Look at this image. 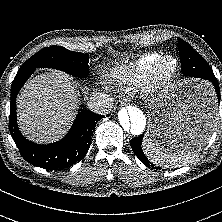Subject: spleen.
Listing matches in <instances>:
<instances>
[{
	"label": "spleen",
	"instance_id": "spleen-1",
	"mask_svg": "<svg viewBox=\"0 0 222 222\" xmlns=\"http://www.w3.org/2000/svg\"><path fill=\"white\" fill-rule=\"evenodd\" d=\"M142 147L147 158L155 165L166 168L180 167L193 160L197 151L165 148L152 139L145 137Z\"/></svg>",
	"mask_w": 222,
	"mask_h": 222
}]
</instances>
